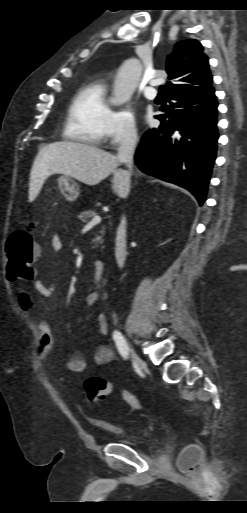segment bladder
<instances>
[{
  "label": "bladder",
  "mask_w": 247,
  "mask_h": 513,
  "mask_svg": "<svg viewBox=\"0 0 247 513\" xmlns=\"http://www.w3.org/2000/svg\"><path fill=\"white\" fill-rule=\"evenodd\" d=\"M95 424L98 427L108 430L119 437H123L125 435V430L123 428L113 425L111 423L98 421ZM140 433H146V431H140Z\"/></svg>",
  "instance_id": "31cf9c89"
}]
</instances>
